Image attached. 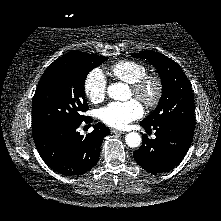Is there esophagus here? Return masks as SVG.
Wrapping results in <instances>:
<instances>
[{"mask_svg": "<svg viewBox=\"0 0 221 221\" xmlns=\"http://www.w3.org/2000/svg\"><path fill=\"white\" fill-rule=\"evenodd\" d=\"M111 132H112V133H117V134H123V133H125L124 131L118 130V129H111Z\"/></svg>", "mask_w": 221, "mask_h": 221, "instance_id": "1", "label": "esophagus"}]
</instances>
